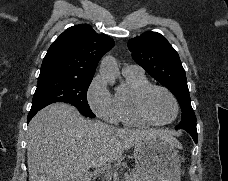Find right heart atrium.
<instances>
[{
    "instance_id": "1",
    "label": "right heart atrium",
    "mask_w": 228,
    "mask_h": 181,
    "mask_svg": "<svg viewBox=\"0 0 228 181\" xmlns=\"http://www.w3.org/2000/svg\"><path fill=\"white\" fill-rule=\"evenodd\" d=\"M88 102L95 114L109 123L118 120L114 96L106 87V78L97 76L88 91Z\"/></svg>"
}]
</instances>
